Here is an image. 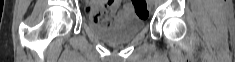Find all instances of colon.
<instances>
[{
	"label": "colon",
	"mask_w": 235,
	"mask_h": 62,
	"mask_svg": "<svg viewBox=\"0 0 235 62\" xmlns=\"http://www.w3.org/2000/svg\"><path fill=\"white\" fill-rule=\"evenodd\" d=\"M134 9L138 16L147 17L148 16V7L145 0H133ZM93 17L104 25H109L112 21V13L104 2H96Z\"/></svg>",
	"instance_id": "5ec220e1"
}]
</instances>
